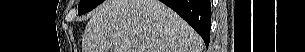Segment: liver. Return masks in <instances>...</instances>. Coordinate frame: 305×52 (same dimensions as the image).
<instances>
[{"label":"liver","mask_w":305,"mask_h":52,"mask_svg":"<svg viewBox=\"0 0 305 52\" xmlns=\"http://www.w3.org/2000/svg\"><path fill=\"white\" fill-rule=\"evenodd\" d=\"M201 37L158 0H106L92 13L82 52H202Z\"/></svg>","instance_id":"6515ba94"}]
</instances>
